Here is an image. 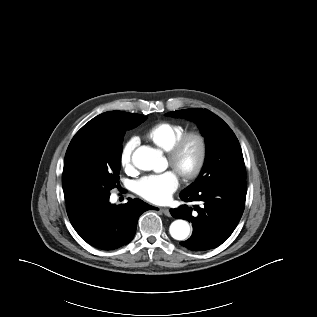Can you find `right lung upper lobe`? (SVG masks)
<instances>
[{
    "label": "right lung upper lobe",
    "mask_w": 317,
    "mask_h": 317,
    "mask_svg": "<svg viewBox=\"0 0 317 317\" xmlns=\"http://www.w3.org/2000/svg\"><path fill=\"white\" fill-rule=\"evenodd\" d=\"M102 114L98 115L97 117L93 118L92 120H90L88 123H95V122H98L100 119H101V116Z\"/></svg>",
    "instance_id": "obj_1"
}]
</instances>
